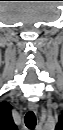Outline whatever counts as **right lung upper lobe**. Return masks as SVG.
I'll use <instances>...</instances> for the list:
<instances>
[{"label":"right lung upper lobe","mask_w":63,"mask_h":130,"mask_svg":"<svg viewBox=\"0 0 63 130\" xmlns=\"http://www.w3.org/2000/svg\"><path fill=\"white\" fill-rule=\"evenodd\" d=\"M1 108V125L7 129H17L13 122L11 109L12 107L7 102H2L0 104Z\"/></svg>","instance_id":"1"}]
</instances>
